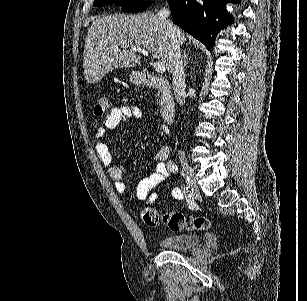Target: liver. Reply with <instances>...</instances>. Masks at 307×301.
<instances>
[{
  "label": "liver",
  "mask_w": 307,
  "mask_h": 301,
  "mask_svg": "<svg viewBox=\"0 0 307 301\" xmlns=\"http://www.w3.org/2000/svg\"><path fill=\"white\" fill-rule=\"evenodd\" d=\"M177 40L178 44L186 40L181 28H178ZM130 46L147 48L154 58L165 64L168 72H172L173 40L158 14H102L93 20L85 38L83 68L87 82H98L106 72L120 66H138L141 56L131 52Z\"/></svg>",
  "instance_id": "6515ba94"
}]
</instances>
